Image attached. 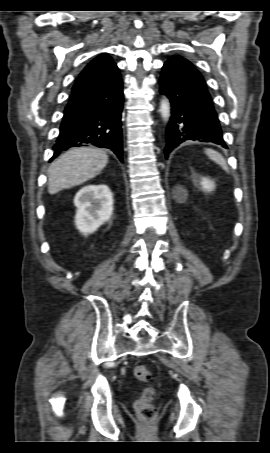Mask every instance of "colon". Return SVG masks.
Masks as SVG:
<instances>
[{
    "mask_svg": "<svg viewBox=\"0 0 270 453\" xmlns=\"http://www.w3.org/2000/svg\"><path fill=\"white\" fill-rule=\"evenodd\" d=\"M134 376L142 382H149L152 378L150 369L145 365H137L134 368ZM156 396V391L153 387H146L141 397L136 402V410L141 420L151 422L154 420L156 412L152 405Z\"/></svg>",
    "mask_w": 270,
    "mask_h": 453,
    "instance_id": "obj_1",
    "label": "colon"
}]
</instances>
